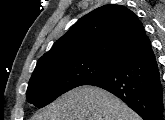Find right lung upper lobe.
<instances>
[{
	"label": "right lung upper lobe",
	"mask_w": 165,
	"mask_h": 120,
	"mask_svg": "<svg viewBox=\"0 0 165 120\" xmlns=\"http://www.w3.org/2000/svg\"><path fill=\"white\" fill-rule=\"evenodd\" d=\"M150 44L138 17L121 5H105L79 19L37 65L70 58L119 64Z\"/></svg>",
	"instance_id": "1"
}]
</instances>
